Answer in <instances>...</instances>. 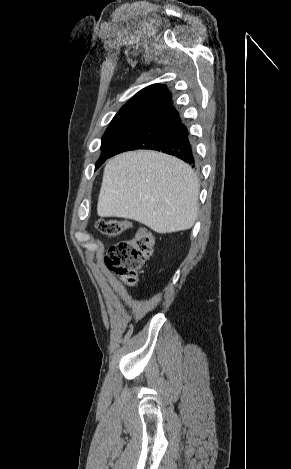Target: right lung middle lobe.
I'll return each mask as SVG.
<instances>
[{"mask_svg": "<svg viewBox=\"0 0 291 469\" xmlns=\"http://www.w3.org/2000/svg\"><path fill=\"white\" fill-rule=\"evenodd\" d=\"M152 116L145 113H117L102 137V155L96 163L97 169L110 153L129 135L136 131Z\"/></svg>", "mask_w": 291, "mask_h": 469, "instance_id": "dd1d6c3e", "label": "right lung middle lobe"}]
</instances>
